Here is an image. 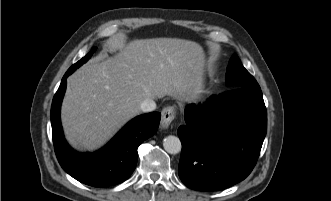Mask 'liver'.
Here are the masks:
<instances>
[{
  "mask_svg": "<svg viewBox=\"0 0 331 201\" xmlns=\"http://www.w3.org/2000/svg\"><path fill=\"white\" fill-rule=\"evenodd\" d=\"M117 50L113 57L84 64L67 80L61 120L75 148H100L141 113L145 99H185L201 84L204 52L196 42L141 39L118 43Z\"/></svg>",
  "mask_w": 331,
  "mask_h": 201,
  "instance_id": "liver-1",
  "label": "liver"
}]
</instances>
